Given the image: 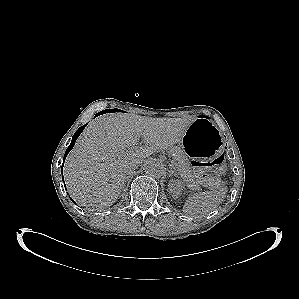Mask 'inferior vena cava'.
Segmentation results:
<instances>
[{
	"label": "inferior vena cava",
	"instance_id": "1",
	"mask_svg": "<svg viewBox=\"0 0 299 299\" xmlns=\"http://www.w3.org/2000/svg\"><path fill=\"white\" fill-rule=\"evenodd\" d=\"M138 165H139L138 162H133V163H131L130 166H129V170H128V172L137 169V168H138Z\"/></svg>",
	"mask_w": 299,
	"mask_h": 299
}]
</instances>
